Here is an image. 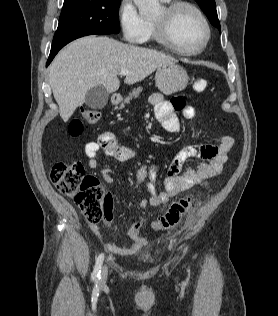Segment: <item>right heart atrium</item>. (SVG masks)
Listing matches in <instances>:
<instances>
[{
  "mask_svg": "<svg viewBox=\"0 0 278 316\" xmlns=\"http://www.w3.org/2000/svg\"><path fill=\"white\" fill-rule=\"evenodd\" d=\"M117 14L123 38L130 43L142 42L147 23L132 0H120Z\"/></svg>",
  "mask_w": 278,
  "mask_h": 316,
  "instance_id": "1",
  "label": "right heart atrium"
}]
</instances>
